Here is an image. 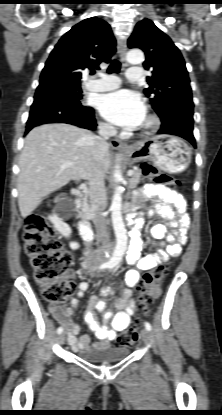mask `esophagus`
Here are the masks:
<instances>
[{
  "label": "esophagus",
  "instance_id": "esophagus-1",
  "mask_svg": "<svg viewBox=\"0 0 222 415\" xmlns=\"http://www.w3.org/2000/svg\"><path fill=\"white\" fill-rule=\"evenodd\" d=\"M118 44H119V52H120L122 64L125 67V66H127V62H126V53H127L126 41L120 40ZM111 145L114 148H120V149H123V150L128 149V146L117 138L111 139Z\"/></svg>",
  "mask_w": 222,
  "mask_h": 415
}]
</instances>
